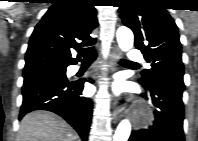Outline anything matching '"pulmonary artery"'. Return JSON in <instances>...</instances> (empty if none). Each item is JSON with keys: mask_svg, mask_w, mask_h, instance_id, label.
<instances>
[{"mask_svg": "<svg viewBox=\"0 0 198 141\" xmlns=\"http://www.w3.org/2000/svg\"><path fill=\"white\" fill-rule=\"evenodd\" d=\"M129 59L132 63L134 64H138V63H143L144 62V59L143 57L138 53V52H135V51H132L130 53V56H129ZM79 70V67L78 66H73L70 70V73L74 74L76 73L77 71Z\"/></svg>", "mask_w": 198, "mask_h": 141, "instance_id": "1", "label": "pulmonary artery"}]
</instances>
